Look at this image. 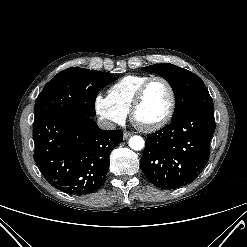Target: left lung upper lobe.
I'll return each mask as SVG.
<instances>
[{"label":"left lung upper lobe","instance_id":"1","mask_svg":"<svg viewBox=\"0 0 247 247\" xmlns=\"http://www.w3.org/2000/svg\"><path fill=\"white\" fill-rule=\"evenodd\" d=\"M143 70L159 74L170 83L176 98L173 120L194 111L214 112L205 84L194 73L170 63L154 64Z\"/></svg>","mask_w":247,"mask_h":247}]
</instances>
